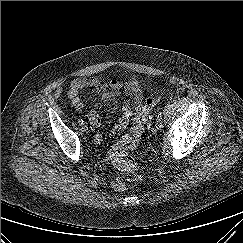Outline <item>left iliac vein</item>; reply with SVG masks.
<instances>
[{
	"label": "left iliac vein",
	"mask_w": 243,
	"mask_h": 243,
	"mask_svg": "<svg viewBox=\"0 0 243 243\" xmlns=\"http://www.w3.org/2000/svg\"><path fill=\"white\" fill-rule=\"evenodd\" d=\"M161 126H162V120L158 118V119L156 120L155 127H156L157 129H159V128H161Z\"/></svg>",
	"instance_id": "left-iliac-vein-1"
}]
</instances>
